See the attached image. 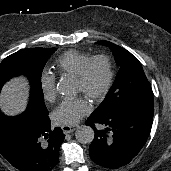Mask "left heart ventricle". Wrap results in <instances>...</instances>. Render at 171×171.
I'll list each match as a JSON object with an SVG mask.
<instances>
[{"label": "left heart ventricle", "instance_id": "obj_1", "mask_svg": "<svg viewBox=\"0 0 171 171\" xmlns=\"http://www.w3.org/2000/svg\"><path fill=\"white\" fill-rule=\"evenodd\" d=\"M106 80V67L102 61L95 62L89 71L86 88L90 92L99 90ZM75 87L77 92L83 91V86L77 80H75Z\"/></svg>", "mask_w": 171, "mask_h": 171}]
</instances>
